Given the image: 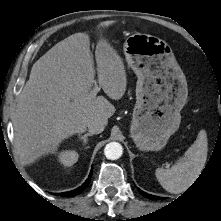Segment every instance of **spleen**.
Segmentation results:
<instances>
[{"instance_id":"1","label":"spleen","mask_w":221,"mask_h":221,"mask_svg":"<svg viewBox=\"0 0 221 221\" xmlns=\"http://www.w3.org/2000/svg\"><path fill=\"white\" fill-rule=\"evenodd\" d=\"M208 152V141L205 130H200L198 137L171 168H157L156 178L168 192L182 193L197 179L203 170Z\"/></svg>"}]
</instances>
